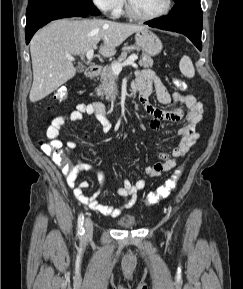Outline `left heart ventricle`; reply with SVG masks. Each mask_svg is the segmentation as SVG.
I'll list each match as a JSON object with an SVG mask.
<instances>
[{
	"label": "left heart ventricle",
	"instance_id": "obj_1",
	"mask_svg": "<svg viewBox=\"0 0 243 289\" xmlns=\"http://www.w3.org/2000/svg\"><path fill=\"white\" fill-rule=\"evenodd\" d=\"M167 0H131L133 8L142 15H154L166 6Z\"/></svg>",
	"mask_w": 243,
	"mask_h": 289
}]
</instances>
